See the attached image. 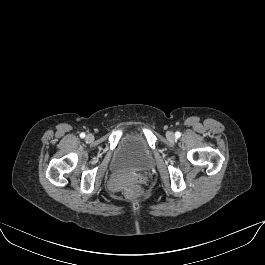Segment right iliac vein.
<instances>
[{
  "label": "right iliac vein",
  "instance_id": "1",
  "mask_svg": "<svg viewBox=\"0 0 265 265\" xmlns=\"http://www.w3.org/2000/svg\"><path fill=\"white\" fill-rule=\"evenodd\" d=\"M86 140L88 141V142H92L93 140H94V135L93 134H87V136H86Z\"/></svg>",
  "mask_w": 265,
  "mask_h": 265
}]
</instances>
